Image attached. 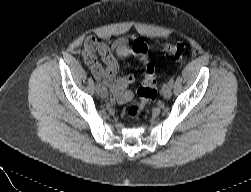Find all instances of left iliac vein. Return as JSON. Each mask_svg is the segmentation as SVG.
<instances>
[{
  "instance_id": "left-iliac-vein-1",
  "label": "left iliac vein",
  "mask_w": 251,
  "mask_h": 192,
  "mask_svg": "<svg viewBox=\"0 0 251 192\" xmlns=\"http://www.w3.org/2000/svg\"><path fill=\"white\" fill-rule=\"evenodd\" d=\"M172 95V86L169 85L168 83L164 84L162 87V96L164 98H170Z\"/></svg>"
}]
</instances>
